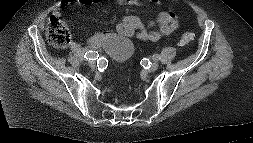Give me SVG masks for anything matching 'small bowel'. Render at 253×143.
<instances>
[{
  "mask_svg": "<svg viewBox=\"0 0 253 143\" xmlns=\"http://www.w3.org/2000/svg\"><path fill=\"white\" fill-rule=\"evenodd\" d=\"M101 0H62L55 9V14L59 15L61 10L71 4H96ZM152 3H160L161 0H149ZM119 4H129L140 6L144 0H116ZM179 26V21L171 10H163L159 17L146 25L139 17L134 15L126 16L117 25L115 31H105L93 34L86 39L88 46L92 48L110 49L113 47L118 37L136 38L142 41H157L165 35L175 31Z\"/></svg>",
  "mask_w": 253,
  "mask_h": 143,
  "instance_id": "1",
  "label": "small bowel"
}]
</instances>
